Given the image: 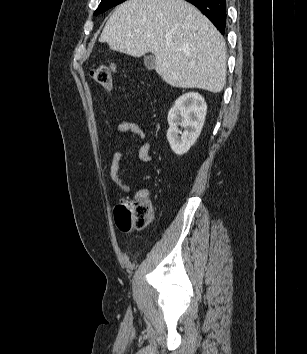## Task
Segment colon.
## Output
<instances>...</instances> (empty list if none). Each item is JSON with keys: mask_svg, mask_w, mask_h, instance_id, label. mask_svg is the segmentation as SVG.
<instances>
[{"mask_svg": "<svg viewBox=\"0 0 307 354\" xmlns=\"http://www.w3.org/2000/svg\"><path fill=\"white\" fill-rule=\"evenodd\" d=\"M115 67L111 63L101 64L91 70L93 80L109 90L112 87ZM117 227L122 231L145 227L152 218V205L148 199H122L114 209Z\"/></svg>", "mask_w": 307, "mask_h": 354, "instance_id": "obj_1", "label": "colon"}]
</instances>
